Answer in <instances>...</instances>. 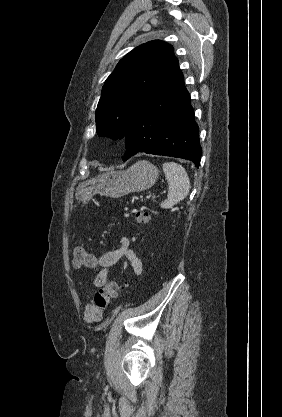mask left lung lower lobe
Listing matches in <instances>:
<instances>
[{"instance_id": "left-lung-lower-lobe-1", "label": "left lung lower lobe", "mask_w": 282, "mask_h": 417, "mask_svg": "<svg viewBox=\"0 0 282 417\" xmlns=\"http://www.w3.org/2000/svg\"><path fill=\"white\" fill-rule=\"evenodd\" d=\"M124 137L123 161L145 152L188 159L199 166V128L178 62L135 110Z\"/></svg>"}]
</instances>
